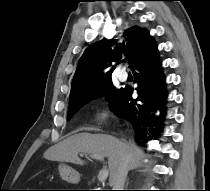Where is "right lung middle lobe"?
<instances>
[{"mask_svg": "<svg viewBox=\"0 0 210 191\" xmlns=\"http://www.w3.org/2000/svg\"><path fill=\"white\" fill-rule=\"evenodd\" d=\"M121 89H116L112 84V80H108L103 83L99 87L93 89L92 91L78 96L69 100V111H68V120L72 118V116L86 103L90 102L95 98H99L102 96H107V99L110 101V105L114 102L117 95L121 92Z\"/></svg>", "mask_w": 210, "mask_h": 191, "instance_id": "dd1d6c3e", "label": "right lung middle lobe"}]
</instances>
